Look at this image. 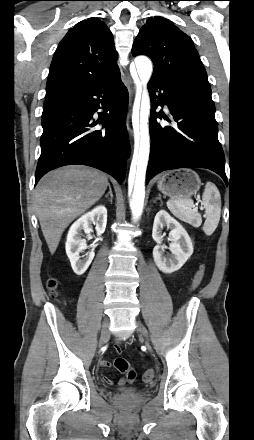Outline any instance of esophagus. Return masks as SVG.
Listing matches in <instances>:
<instances>
[{"label":"esophagus","instance_id":"34e87169","mask_svg":"<svg viewBox=\"0 0 254 440\" xmlns=\"http://www.w3.org/2000/svg\"><path fill=\"white\" fill-rule=\"evenodd\" d=\"M130 94H131V95L133 94V90H132V88H130ZM127 124H128V121H127Z\"/></svg>","mask_w":254,"mask_h":440}]
</instances>
